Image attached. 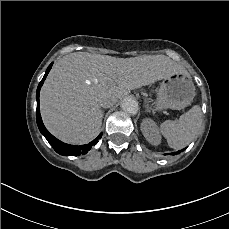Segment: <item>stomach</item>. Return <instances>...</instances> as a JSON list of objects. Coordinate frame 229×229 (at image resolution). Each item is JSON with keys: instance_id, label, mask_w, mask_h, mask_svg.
<instances>
[{"instance_id": "1", "label": "stomach", "mask_w": 229, "mask_h": 229, "mask_svg": "<svg viewBox=\"0 0 229 229\" xmlns=\"http://www.w3.org/2000/svg\"><path fill=\"white\" fill-rule=\"evenodd\" d=\"M195 97V87L190 75L174 74L163 79L152 105L161 115L168 109L180 110L188 106Z\"/></svg>"}]
</instances>
